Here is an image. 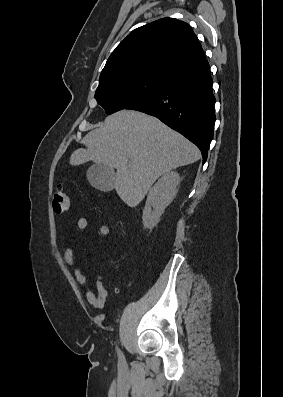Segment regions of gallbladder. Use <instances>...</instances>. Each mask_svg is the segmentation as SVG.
Segmentation results:
<instances>
[{"mask_svg": "<svg viewBox=\"0 0 283 397\" xmlns=\"http://www.w3.org/2000/svg\"><path fill=\"white\" fill-rule=\"evenodd\" d=\"M115 177L114 170L102 164H94L87 171V179L91 186L102 192L113 190Z\"/></svg>", "mask_w": 283, "mask_h": 397, "instance_id": "obj_1", "label": "gallbladder"}]
</instances>
